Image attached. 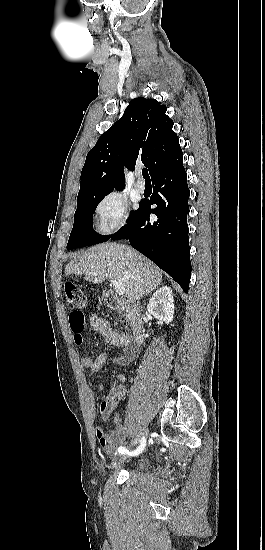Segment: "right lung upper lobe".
Masks as SVG:
<instances>
[{
  "mask_svg": "<svg viewBox=\"0 0 265 550\" xmlns=\"http://www.w3.org/2000/svg\"><path fill=\"white\" fill-rule=\"evenodd\" d=\"M166 110L155 99L131 100L123 116L87 154L77 198L123 190L124 169L133 170L137 162L142 161L151 177L163 167L181 149Z\"/></svg>",
  "mask_w": 265,
  "mask_h": 550,
  "instance_id": "1",
  "label": "right lung upper lobe"
}]
</instances>
